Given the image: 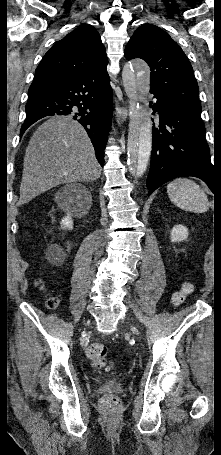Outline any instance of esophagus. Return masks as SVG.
Listing matches in <instances>:
<instances>
[{
  "instance_id": "esophagus-1",
  "label": "esophagus",
  "mask_w": 221,
  "mask_h": 455,
  "mask_svg": "<svg viewBox=\"0 0 221 455\" xmlns=\"http://www.w3.org/2000/svg\"><path fill=\"white\" fill-rule=\"evenodd\" d=\"M128 116V109L125 106H116V120L118 124H121L122 122L126 121Z\"/></svg>"
}]
</instances>
